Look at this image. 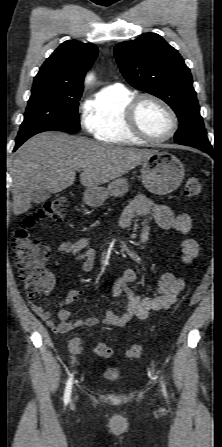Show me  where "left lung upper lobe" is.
<instances>
[{"instance_id":"obj_1","label":"left lung upper lobe","mask_w":222,"mask_h":447,"mask_svg":"<svg viewBox=\"0 0 222 447\" xmlns=\"http://www.w3.org/2000/svg\"><path fill=\"white\" fill-rule=\"evenodd\" d=\"M114 53L123 76L133 87L164 100L175 111L180 122L174 135L177 143L211 146L190 70L176 49L160 35L145 33L117 44Z\"/></svg>"}]
</instances>
